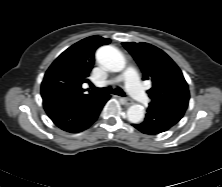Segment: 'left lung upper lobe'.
Returning <instances> with one entry per match:
<instances>
[{"label":"left lung upper lobe","mask_w":222,"mask_h":187,"mask_svg":"<svg viewBox=\"0 0 222 187\" xmlns=\"http://www.w3.org/2000/svg\"><path fill=\"white\" fill-rule=\"evenodd\" d=\"M122 44L139 65L143 80H149L152 84L147 91L151 103L189 101L188 84L179 67L165 52L148 43Z\"/></svg>","instance_id":"obj_1"}]
</instances>
